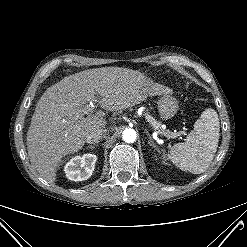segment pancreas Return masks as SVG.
<instances>
[{
	"mask_svg": "<svg viewBox=\"0 0 247 247\" xmlns=\"http://www.w3.org/2000/svg\"><path fill=\"white\" fill-rule=\"evenodd\" d=\"M146 120L149 122V124H150L153 128L157 129L161 134H164V135H166L167 137H171V138H174V137H175V134H174V133H171V132H169V131H167V132L163 131V130L161 129V123L158 122V121H156L152 116L147 115V116H146Z\"/></svg>",
	"mask_w": 247,
	"mask_h": 247,
	"instance_id": "obj_1",
	"label": "pancreas"
}]
</instances>
